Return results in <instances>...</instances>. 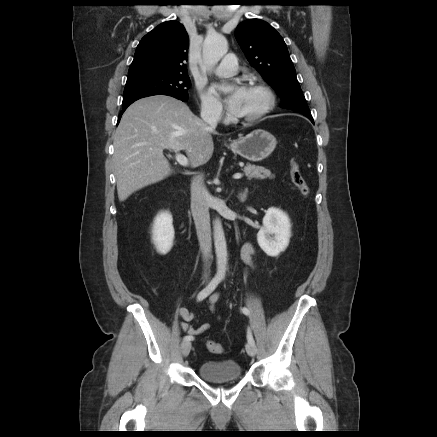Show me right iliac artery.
Instances as JSON below:
<instances>
[{"label": "right iliac artery", "instance_id": "obj_1", "mask_svg": "<svg viewBox=\"0 0 437 437\" xmlns=\"http://www.w3.org/2000/svg\"><path fill=\"white\" fill-rule=\"evenodd\" d=\"M220 282V278L215 277L211 280V282L203 289L199 292L198 296H197V300L198 301H202L203 299H205L208 295H210L215 288L218 286ZM193 340V337L190 335H187L184 337V341H191Z\"/></svg>", "mask_w": 437, "mask_h": 437}]
</instances>
